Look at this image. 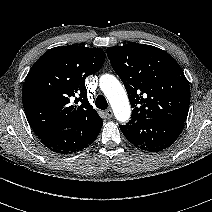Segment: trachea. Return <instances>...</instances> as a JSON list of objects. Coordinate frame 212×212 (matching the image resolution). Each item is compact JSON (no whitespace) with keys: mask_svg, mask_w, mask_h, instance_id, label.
I'll use <instances>...</instances> for the list:
<instances>
[{"mask_svg":"<svg viewBox=\"0 0 212 212\" xmlns=\"http://www.w3.org/2000/svg\"><path fill=\"white\" fill-rule=\"evenodd\" d=\"M95 105H96L97 108H99V109H101V110H105V109H107V107H108L107 100H106L105 97L102 96V95H99V96L96 98Z\"/></svg>","mask_w":212,"mask_h":212,"instance_id":"3493384b","label":"trachea"}]
</instances>
